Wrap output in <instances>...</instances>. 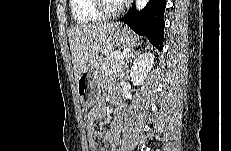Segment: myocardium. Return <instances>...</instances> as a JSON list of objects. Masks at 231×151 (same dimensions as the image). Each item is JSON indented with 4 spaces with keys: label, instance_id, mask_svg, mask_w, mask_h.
I'll return each mask as SVG.
<instances>
[{
    "label": "myocardium",
    "instance_id": "obj_1",
    "mask_svg": "<svg viewBox=\"0 0 231 151\" xmlns=\"http://www.w3.org/2000/svg\"><path fill=\"white\" fill-rule=\"evenodd\" d=\"M94 10L103 19H114L125 11V5L120 4L112 11L108 8L106 0H94Z\"/></svg>",
    "mask_w": 231,
    "mask_h": 151
}]
</instances>
